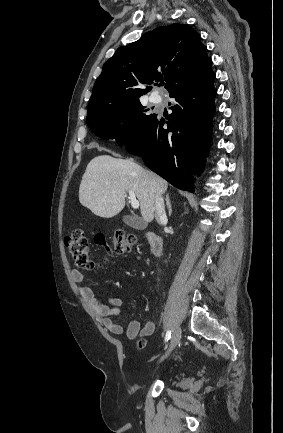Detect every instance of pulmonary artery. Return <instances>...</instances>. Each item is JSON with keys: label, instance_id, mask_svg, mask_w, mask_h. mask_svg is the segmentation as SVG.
Listing matches in <instances>:
<instances>
[{"label": "pulmonary artery", "instance_id": "e3ab8cb5", "mask_svg": "<svg viewBox=\"0 0 283 433\" xmlns=\"http://www.w3.org/2000/svg\"><path fill=\"white\" fill-rule=\"evenodd\" d=\"M150 100H151L152 103L157 104V103L159 102V97H158V96L151 95V96H150Z\"/></svg>", "mask_w": 283, "mask_h": 433}]
</instances>
